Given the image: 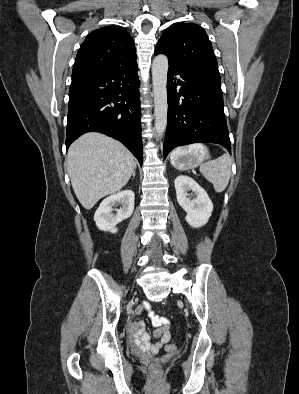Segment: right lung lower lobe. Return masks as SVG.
<instances>
[{
  "instance_id": "98d812e1",
  "label": "right lung lower lobe",
  "mask_w": 299,
  "mask_h": 394,
  "mask_svg": "<svg viewBox=\"0 0 299 394\" xmlns=\"http://www.w3.org/2000/svg\"><path fill=\"white\" fill-rule=\"evenodd\" d=\"M137 63L72 76L66 149L89 131L122 142L142 165Z\"/></svg>"
}]
</instances>
